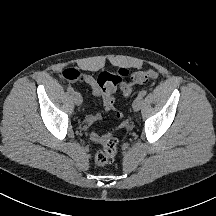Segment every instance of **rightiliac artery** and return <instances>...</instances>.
Segmentation results:
<instances>
[{
	"label": "right iliac artery",
	"instance_id": "obj_1",
	"mask_svg": "<svg viewBox=\"0 0 216 216\" xmlns=\"http://www.w3.org/2000/svg\"><path fill=\"white\" fill-rule=\"evenodd\" d=\"M67 91L69 92V93H73L74 92V89L71 87V86H69L68 88H67Z\"/></svg>",
	"mask_w": 216,
	"mask_h": 216
}]
</instances>
